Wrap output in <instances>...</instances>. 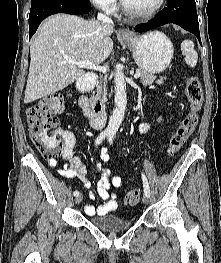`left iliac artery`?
<instances>
[{
	"mask_svg": "<svg viewBox=\"0 0 221 263\" xmlns=\"http://www.w3.org/2000/svg\"><path fill=\"white\" fill-rule=\"evenodd\" d=\"M113 138H114V134H109V135H108V139H109V143H110V144L113 143ZM142 180H143L144 193H145V195H147L148 197H150L149 184H148L147 179H146V177H145L144 174H142Z\"/></svg>",
	"mask_w": 221,
	"mask_h": 263,
	"instance_id": "1",
	"label": "left iliac artery"
}]
</instances>
